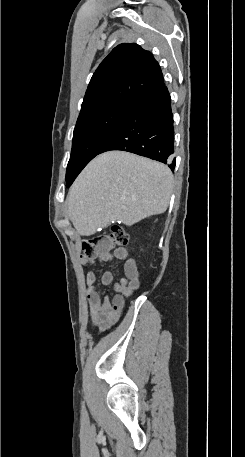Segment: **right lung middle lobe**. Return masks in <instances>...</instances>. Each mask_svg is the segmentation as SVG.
<instances>
[{"label": "right lung middle lobe", "mask_w": 245, "mask_h": 457, "mask_svg": "<svg viewBox=\"0 0 245 457\" xmlns=\"http://www.w3.org/2000/svg\"><path fill=\"white\" fill-rule=\"evenodd\" d=\"M128 111L129 108L111 106L79 115L66 171L67 187L73 183L87 163L99 154Z\"/></svg>", "instance_id": "right-lung-middle-lobe-1"}]
</instances>
